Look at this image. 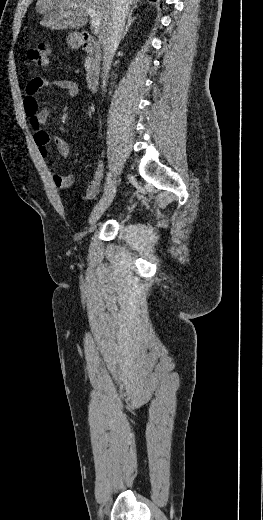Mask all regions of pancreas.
Here are the masks:
<instances>
[{
  "mask_svg": "<svg viewBox=\"0 0 263 520\" xmlns=\"http://www.w3.org/2000/svg\"><path fill=\"white\" fill-rule=\"evenodd\" d=\"M88 64H89V62H88V60H86V62H85V67H87Z\"/></svg>",
  "mask_w": 263,
  "mask_h": 520,
  "instance_id": "1",
  "label": "pancreas"
}]
</instances>
